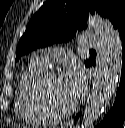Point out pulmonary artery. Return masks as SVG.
Listing matches in <instances>:
<instances>
[{"label": "pulmonary artery", "instance_id": "pulmonary-artery-1", "mask_svg": "<svg viewBox=\"0 0 125 128\" xmlns=\"http://www.w3.org/2000/svg\"><path fill=\"white\" fill-rule=\"evenodd\" d=\"M80 43L83 48H97L100 45V38L94 34H84L80 36ZM58 53V50L46 49L40 52L39 54L34 55L33 61L44 66L47 64L48 59Z\"/></svg>", "mask_w": 125, "mask_h": 128}]
</instances>
